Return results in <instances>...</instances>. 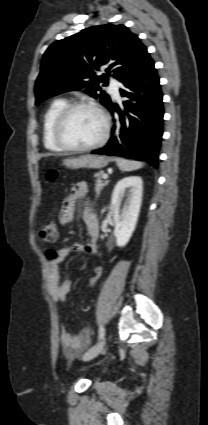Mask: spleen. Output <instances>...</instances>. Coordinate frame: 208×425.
I'll list each match as a JSON object with an SVG mask.
<instances>
[{
  "instance_id": "1",
  "label": "spleen",
  "mask_w": 208,
  "mask_h": 425,
  "mask_svg": "<svg viewBox=\"0 0 208 425\" xmlns=\"http://www.w3.org/2000/svg\"><path fill=\"white\" fill-rule=\"evenodd\" d=\"M116 162L119 169L122 171H133L144 166L142 162L127 160L124 158H116Z\"/></svg>"
}]
</instances>
